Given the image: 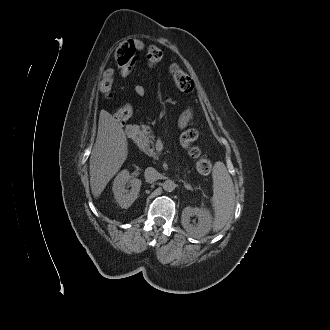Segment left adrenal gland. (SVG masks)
<instances>
[{"instance_id":"left-adrenal-gland-1","label":"left adrenal gland","mask_w":330,"mask_h":330,"mask_svg":"<svg viewBox=\"0 0 330 330\" xmlns=\"http://www.w3.org/2000/svg\"><path fill=\"white\" fill-rule=\"evenodd\" d=\"M184 187L187 188L188 190H192V188L184 182Z\"/></svg>"}]
</instances>
